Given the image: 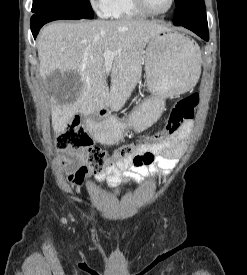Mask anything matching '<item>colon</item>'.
I'll return each mask as SVG.
<instances>
[{"label":"colon","mask_w":247,"mask_h":275,"mask_svg":"<svg viewBox=\"0 0 247 275\" xmlns=\"http://www.w3.org/2000/svg\"><path fill=\"white\" fill-rule=\"evenodd\" d=\"M199 104V96L196 93L181 98L173 105L163 129L142 144H125L117 148L114 152V160H124L134 158L139 162L142 157L137 155V150L142 145L156 143L164 138L173 135L183 123L191 120L196 107ZM56 145L64 151L80 152L86 168L91 173L100 172L108 162L107 153L99 147L93 145V140L84 129L78 119L73 120L63 132L56 138Z\"/></svg>","instance_id":"colon-1"}]
</instances>
